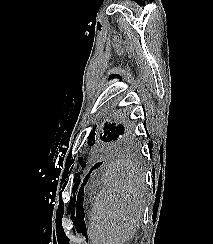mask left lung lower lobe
I'll use <instances>...</instances> for the list:
<instances>
[{"label": "left lung lower lobe", "mask_w": 213, "mask_h": 244, "mask_svg": "<svg viewBox=\"0 0 213 244\" xmlns=\"http://www.w3.org/2000/svg\"><path fill=\"white\" fill-rule=\"evenodd\" d=\"M101 164H102V162L97 163V164H95V165L92 167V169L89 171V173L87 174V176L84 178V180H83V182H82V185H81V188H80L81 190L83 189L84 185L87 183L88 178H89L91 172H92L94 169L98 168Z\"/></svg>", "instance_id": "0a47b994"}]
</instances>
